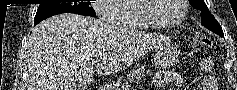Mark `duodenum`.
Returning a JSON list of instances; mask_svg holds the SVG:
<instances>
[{
    "instance_id": "duodenum-1",
    "label": "duodenum",
    "mask_w": 237,
    "mask_h": 90,
    "mask_svg": "<svg viewBox=\"0 0 237 90\" xmlns=\"http://www.w3.org/2000/svg\"><path fill=\"white\" fill-rule=\"evenodd\" d=\"M99 90H112V87H99Z\"/></svg>"
}]
</instances>
